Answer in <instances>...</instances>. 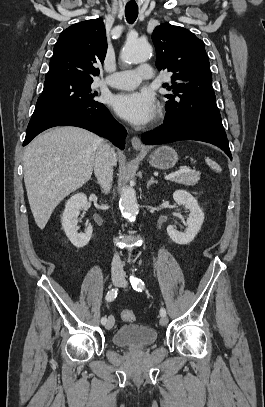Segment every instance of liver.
I'll return each mask as SVG.
<instances>
[{
	"label": "liver",
	"mask_w": 265,
	"mask_h": 407,
	"mask_svg": "<svg viewBox=\"0 0 265 407\" xmlns=\"http://www.w3.org/2000/svg\"><path fill=\"white\" fill-rule=\"evenodd\" d=\"M103 144L90 131L65 126L39 135L26 147L24 182L34 220L41 230L56 206L90 180Z\"/></svg>",
	"instance_id": "obj_1"
}]
</instances>
